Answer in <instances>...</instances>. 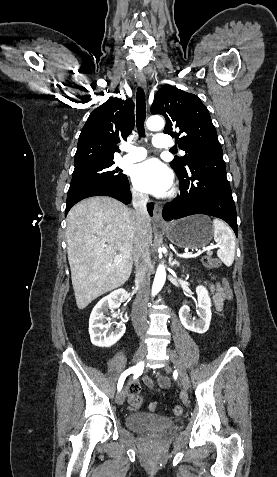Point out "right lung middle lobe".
<instances>
[{
  "mask_svg": "<svg viewBox=\"0 0 277 477\" xmlns=\"http://www.w3.org/2000/svg\"><path fill=\"white\" fill-rule=\"evenodd\" d=\"M114 161L95 162L75 167L67 201L81 192L97 186L121 187L128 183L122 170L114 167Z\"/></svg>",
  "mask_w": 277,
  "mask_h": 477,
  "instance_id": "dd1d6c3e",
  "label": "right lung middle lobe"
}]
</instances>
